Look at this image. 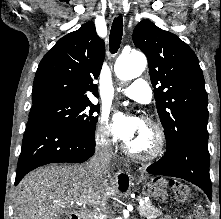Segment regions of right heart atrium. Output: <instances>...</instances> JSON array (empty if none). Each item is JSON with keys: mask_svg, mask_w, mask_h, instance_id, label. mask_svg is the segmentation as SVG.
Returning <instances> with one entry per match:
<instances>
[{"mask_svg": "<svg viewBox=\"0 0 221 219\" xmlns=\"http://www.w3.org/2000/svg\"><path fill=\"white\" fill-rule=\"evenodd\" d=\"M96 142L106 148L109 147L111 143L110 127L105 114L101 115L98 120V125L96 128Z\"/></svg>", "mask_w": 221, "mask_h": 219, "instance_id": "right-heart-atrium-1", "label": "right heart atrium"}]
</instances>
